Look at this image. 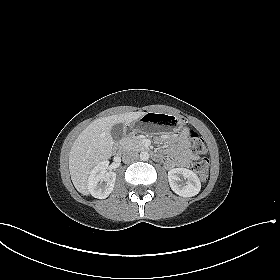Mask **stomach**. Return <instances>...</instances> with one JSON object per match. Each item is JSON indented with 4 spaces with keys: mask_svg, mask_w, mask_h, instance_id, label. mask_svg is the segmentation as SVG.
<instances>
[{
    "mask_svg": "<svg viewBox=\"0 0 280 280\" xmlns=\"http://www.w3.org/2000/svg\"><path fill=\"white\" fill-rule=\"evenodd\" d=\"M183 125V120L174 115L149 112L132 122L130 129L132 133L151 129H159L166 133H174L180 131Z\"/></svg>",
    "mask_w": 280,
    "mask_h": 280,
    "instance_id": "1",
    "label": "stomach"
}]
</instances>
